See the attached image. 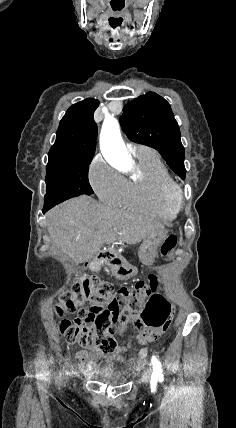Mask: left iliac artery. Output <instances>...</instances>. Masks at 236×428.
<instances>
[{
  "instance_id": "obj_1",
  "label": "left iliac artery",
  "mask_w": 236,
  "mask_h": 428,
  "mask_svg": "<svg viewBox=\"0 0 236 428\" xmlns=\"http://www.w3.org/2000/svg\"><path fill=\"white\" fill-rule=\"evenodd\" d=\"M151 363L153 366L152 377L162 378L163 377L162 369H161L162 365L159 362V360L155 356H152Z\"/></svg>"
}]
</instances>
